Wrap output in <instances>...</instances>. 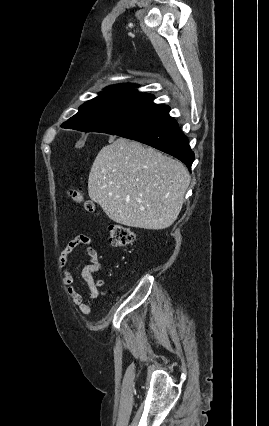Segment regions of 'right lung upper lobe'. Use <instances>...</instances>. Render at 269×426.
Listing matches in <instances>:
<instances>
[{
	"instance_id": "obj_1",
	"label": "right lung upper lobe",
	"mask_w": 269,
	"mask_h": 426,
	"mask_svg": "<svg viewBox=\"0 0 269 426\" xmlns=\"http://www.w3.org/2000/svg\"><path fill=\"white\" fill-rule=\"evenodd\" d=\"M136 85L134 84H118L107 87L104 93H125V92H138L137 90H133Z\"/></svg>"
}]
</instances>
